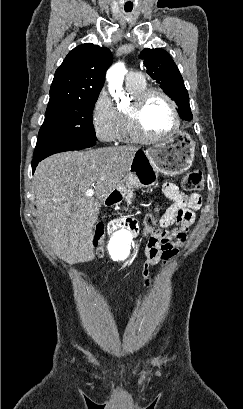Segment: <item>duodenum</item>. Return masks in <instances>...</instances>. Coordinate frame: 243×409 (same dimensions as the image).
<instances>
[{"label": "duodenum", "instance_id": "duodenum-1", "mask_svg": "<svg viewBox=\"0 0 243 409\" xmlns=\"http://www.w3.org/2000/svg\"><path fill=\"white\" fill-rule=\"evenodd\" d=\"M121 199V196L118 191H113L106 199L105 204L107 206H113L117 204ZM118 228H126L130 231H135L136 230V224L133 220L131 219H121L116 222H113L110 224L109 229L110 230H115Z\"/></svg>", "mask_w": 243, "mask_h": 409}]
</instances>
